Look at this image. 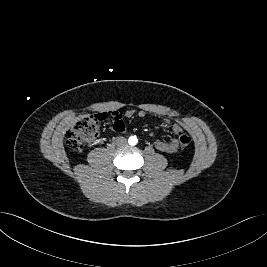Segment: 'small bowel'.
<instances>
[{
    "label": "small bowel",
    "instance_id": "obj_1",
    "mask_svg": "<svg viewBox=\"0 0 267 267\" xmlns=\"http://www.w3.org/2000/svg\"><path fill=\"white\" fill-rule=\"evenodd\" d=\"M135 114L133 110L125 111L124 115L127 117H132ZM107 115V114H104ZM109 116L112 119V129L116 132H124L125 131V123L123 121V115L120 111H112L109 112ZM137 116L143 118L146 116V111L140 110L137 112ZM173 131L177 134L180 131H183V128L179 124L172 125ZM157 150L164 153H175L179 148V140L173 138L169 141L157 140L154 143Z\"/></svg>",
    "mask_w": 267,
    "mask_h": 267
}]
</instances>
